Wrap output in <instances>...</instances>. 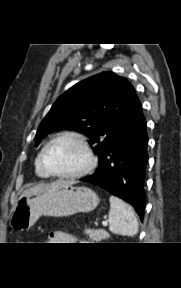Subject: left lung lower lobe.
Wrapping results in <instances>:
<instances>
[{
  "label": "left lung lower lobe",
  "instance_id": "1",
  "mask_svg": "<svg viewBox=\"0 0 181 288\" xmlns=\"http://www.w3.org/2000/svg\"><path fill=\"white\" fill-rule=\"evenodd\" d=\"M148 135L141 103L136 97L116 138L94 174L81 181L97 185L131 204L143 220Z\"/></svg>",
  "mask_w": 181,
  "mask_h": 288
}]
</instances>
